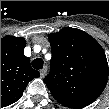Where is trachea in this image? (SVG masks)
Segmentation results:
<instances>
[{
	"instance_id": "obj_1",
	"label": "trachea",
	"mask_w": 109,
	"mask_h": 109,
	"mask_svg": "<svg viewBox=\"0 0 109 109\" xmlns=\"http://www.w3.org/2000/svg\"><path fill=\"white\" fill-rule=\"evenodd\" d=\"M43 64L44 62L41 58H36L32 61L33 68L37 70L41 69L43 67Z\"/></svg>"
}]
</instances>
